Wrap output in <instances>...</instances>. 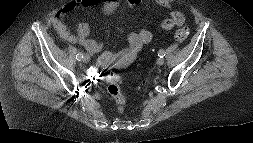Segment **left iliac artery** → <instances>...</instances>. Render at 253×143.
<instances>
[{"label": "left iliac artery", "instance_id": "obj_1", "mask_svg": "<svg viewBox=\"0 0 253 143\" xmlns=\"http://www.w3.org/2000/svg\"><path fill=\"white\" fill-rule=\"evenodd\" d=\"M158 56H159L160 58H163V57L165 56V51H164V50H160V51L158 52Z\"/></svg>", "mask_w": 253, "mask_h": 143}]
</instances>
